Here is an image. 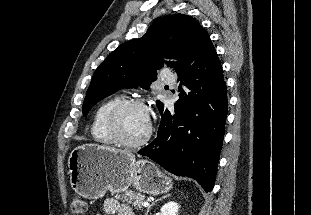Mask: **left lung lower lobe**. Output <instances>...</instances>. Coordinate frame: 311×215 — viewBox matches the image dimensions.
Here are the masks:
<instances>
[{"instance_id": "obj_1", "label": "left lung lower lobe", "mask_w": 311, "mask_h": 215, "mask_svg": "<svg viewBox=\"0 0 311 215\" xmlns=\"http://www.w3.org/2000/svg\"><path fill=\"white\" fill-rule=\"evenodd\" d=\"M175 70L181 82L175 110L158 108L157 137L138 153L175 175L195 179L210 192L224 138L227 88L209 35Z\"/></svg>"}]
</instances>
